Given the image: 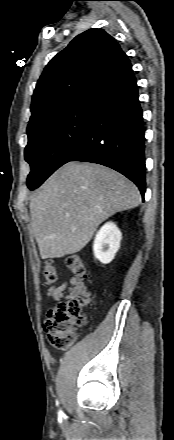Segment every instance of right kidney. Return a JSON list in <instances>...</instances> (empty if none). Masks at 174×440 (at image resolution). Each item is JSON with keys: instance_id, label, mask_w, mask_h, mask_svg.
I'll use <instances>...</instances> for the list:
<instances>
[{"instance_id": "1", "label": "right kidney", "mask_w": 174, "mask_h": 440, "mask_svg": "<svg viewBox=\"0 0 174 440\" xmlns=\"http://www.w3.org/2000/svg\"><path fill=\"white\" fill-rule=\"evenodd\" d=\"M121 238L122 234L115 223L104 224L94 239V256L103 264L110 263L120 247Z\"/></svg>"}]
</instances>
